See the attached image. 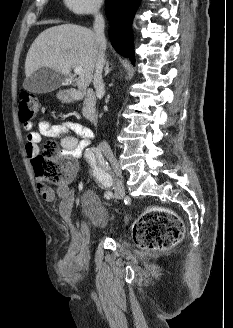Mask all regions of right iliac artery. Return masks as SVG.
Segmentation results:
<instances>
[{
  "mask_svg": "<svg viewBox=\"0 0 233 328\" xmlns=\"http://www.w3.org/2000/svg\"><path fill=\"white\" fill-rule=\"evenodd\" d=\"M85 157L93 169V175L98 185L106 190L105 198L110 199L113 196L110 191L113 181L109 173L108 162L102 156L101 150L99 148H91L85 153Z\"/></svg>",
  "mask_w": 233,
  "mask_h": 328,
  "instance_id": "82829eb1",
  "label": "right iliac artery"
}]
</instances>
